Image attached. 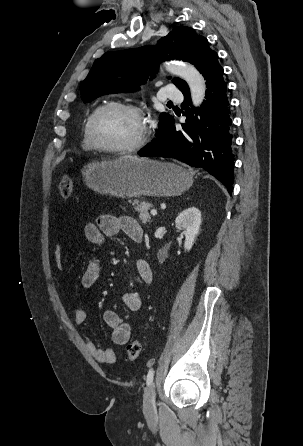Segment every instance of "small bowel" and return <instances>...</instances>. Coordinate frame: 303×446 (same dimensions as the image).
<instances>
[{"instance_id":"c3829d8e","label":"small bowel","mask_w":303,"mask_h":446,"mask_svg":"<svg viewBox=\"0 0 303 446\" xmlns=\"http://www.w3.org/2000/svg\"><path fill=\"white\" fill-rule=\"evenodd\" d=\"M120 234L125 235L134 242H141L143 231L139 223L132 217L114 215H101L95 223H88L84 228L86 241L94 246H100L106 238H113ZM64 243L59 242L55 248V263L59 270H63L62 255ZM136 273L139 280L144 284H150L153 280V273L149 263L144 259L136 261ZM100 277V265L96 258H91L82 274L81 283L85 288H92L96 285ZM125 307L130 312H137L141 309L142 299L135 290L127 291L122 297ZM74 321L77 325L85 322L86 314L83 310L75 308ZM105 325L112 331V340L116 345H124L130 339L131 325L123 321L119 314L113 310H107L103 314ZM86 348L90 354L101 363L114 364L117 361V354L113 348H100L94 341L88 339Z\"/></svg>"}]
</instances>
